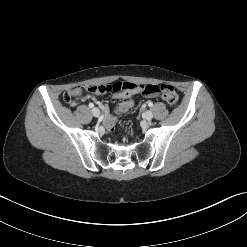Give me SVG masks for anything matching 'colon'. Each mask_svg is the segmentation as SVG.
Masks as SVG:
<instances>
[{"mask_svg":"<svg viewBox=\"0 0 247 247\" xmlns=\"http://www.w3.org/2000/svg\"><path fill=\"white\" fill-rule=\"evenodd\" d=\"M135 90L136 92L142 94V96L158 100L163 98L169 105L174 106L178 103L179 96L173 86L168 84H163L157 87L154 84H139L136 85L135 82H116L114 84H104L95 85L88 88V91L93 94H104L111 91L117 92L123 89ZM82 94V88L80 86L73 87L64 93V101L70 105H75L77 99ZM134 102L131 99L121 102L116 106L115 115L122 116L126 111H130L133 108ZM116 125V118L114 116H109L105 120V127L107 130L112 131Z\"/></svg>","mask_w":247,"mask_h":247,"instance_id":"1","label":"colon"}]
</instances>
